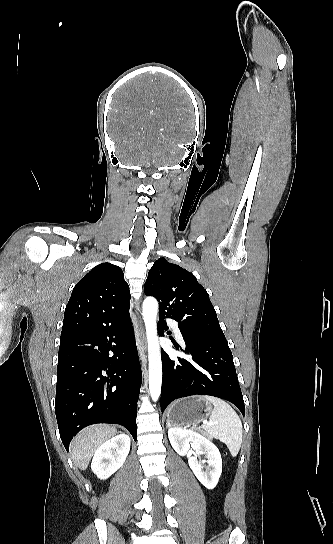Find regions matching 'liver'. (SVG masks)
Listing matches in <instances>:
<instances>
[{"label":"liver","mask_w":333,"mask_h":544,"mask_svg":"<svg viewBox=\"0 0 333 544\" xmlns=\"http://www.w3.org/2000/svg\"><path fill=\"white\" fill-rule=\"evenodd\" d=\"M114 426L95 425L81 431L71 443V456L74 464L85 470L96 450L116 434Z\"/></svg>","instance_id":"obj_1"}]
</instances>
